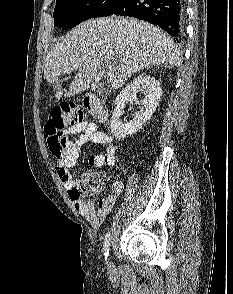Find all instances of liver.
Returning a JSON list of instances; mask_svg holds the SVG:
<instances>
[{
	"label": "liver",
	"instance_id": "6515ba94",
	"mask_svg": "<svg viewBox=\"0 0 233 294\" xmlns=\"http://www.w3.org/2000/svg\"><path fill=\"white\" fill-rule=\"evenodd\" d=\"M179 66L180 53L158 27L124 17L91 19L60 39L44 62V78L53 85L56 102L63 96L61 75L77 71L65 96L86 91L103 65L113 66L107 81L117 89L137 71L152 65Z\"/></svg>",
	"mask_w": 233,
	"mask_h": 294
}]
</instances>
